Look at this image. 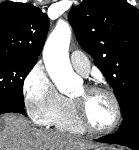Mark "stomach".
<instances>
[{"label":"stomach","mask_w":139,"mask_h":150,"mask_svg":"<svg viewBox=\"0 0 139 150\" xmlns=\"http://www.w3.org/2000/svg\"><path fill=\"white\" fill-rule=\"evenodd\" d=\"M95 150H117L113 147H99V148H96Z\"/></svg>","instance_id":"stomach-1"}]
</instances>
